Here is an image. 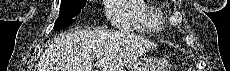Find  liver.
I'll use <instances>...</instances> for the list:
<instances>
[{"label": "liver", "mask_w": 230, "mask_h": 71, "mask_svg": "<svg viewBox=\"0 0 230 71\" xmlns=\"http://www.w3.org/2000/svg\"><path fill=\"white\" fill-rule=\"evenodd\" d=\"M155 47L135 34L75 29L49 43L40 57L38 71H92L96 59L98 71H122L124 66Z\"/></svg>", "instance_id": "obj_1"}]
</instances>
